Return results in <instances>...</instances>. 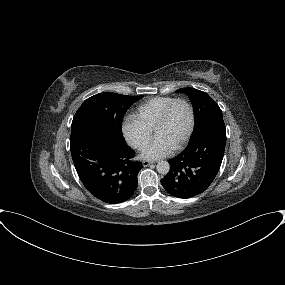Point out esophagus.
<instances>
[{"label": "esophagus", "instance_id": "1", "mask_svg": "<svg viewBox=\"0 0 285 285\" xmlns=\"http://www.w3.org/2000/svg\"><path fill=\"white\" fill-rule=\"evenodd\" d=\"M153 163H154V162L144 160V161L142 162V165H143V167H148L149 165H151V164H153Z\"/></svg>", "mask_w": 285, "mask_h": 285}]
</instances>
